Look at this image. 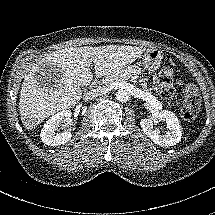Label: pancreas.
<instances>
[{"label": "pancreas", "mask_w": 215, "mask_h": 215, "mask_svg": "<svg viewBox=\"0 0 215 215\" xmlns=\"http://www.w3.org/2000/svg\"><path fill=\"white\" fill-rule=\"evenodd\" d=\"M130 75H137L138 81L142 84L148 81V73L144 69L140 68L137 64L124 68L122 73L115 72L108 75L107 77L110 79V82H112L113 79L125 80Z\"/></svg>", "instance_id": "obj_1"}]
</instances>
